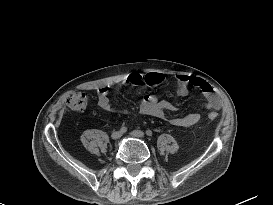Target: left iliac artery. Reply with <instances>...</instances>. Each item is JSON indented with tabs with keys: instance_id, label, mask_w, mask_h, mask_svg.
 Instances as JSON below:
<instances>
[{
	"instance_id": "obj_1",
	"label": "left iliac artery",
	"mask_w": 273,
	"mask_h": 205,
	"mask_svg": "<svg viewBox=\"0 0 273 205\" xmlns=\"http://www.w3.org/2000/svg\"><path fill=\"white\" fill-rule=\"evenodd\" d=\"M146 135L149 136V137H151L153 135V133H152L151 130L148 129V130H146Z\"/></svg>"
}]
</instances>
